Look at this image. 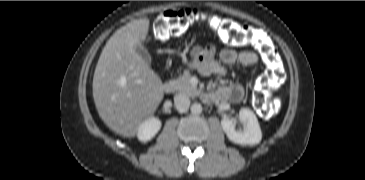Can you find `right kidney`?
I'll list each match as a JSON object with an SVG mask.
<instances>
[{
  "label": "right kidney",
  "mask_w": 365,
  "mask_h": 180,
  "mask_svg": "<svg viewBox=\"0 0 365 180\" xmlns=\"http://www.w3.org/2000/svg\"><path fill=\"white\" fill-rule=\"evenodd\" d=\"M161 121L158 118H148L138 128L137 136L142 142L151 140L160 130Z\"/></svg>",
  "instance_id": "ca27d5eb"
}]
</instances>
